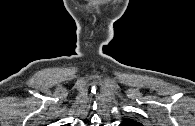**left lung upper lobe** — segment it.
<instances>
[{
  "label": "left lung upper lobe",
  "mask_w": 195,
  "mask_h": 126,
  "mask_svg": "<svg viewBox=\"0 0 195 126\" xmlns=\"http://www.w3.org/2000/svg\"><path fill=\"white\" fill-rule=\"evenodd\" d=\"M123 122H126L129 126H142L141 123L132 119H125Z\"/></svg>",
  "instance_id": "1"
}]
</instances>
